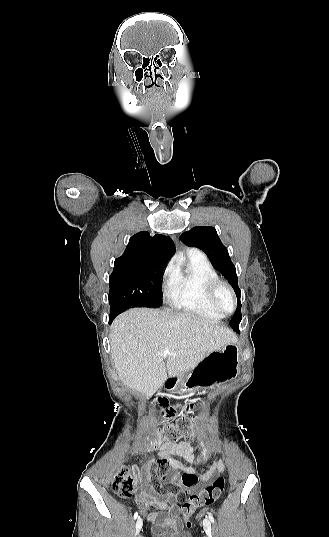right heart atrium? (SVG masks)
I'll list each match as a JSON object with an SVG mask.
<instances>
[{
	"label": "right heart atrium",
	"instance_id": "obj_1",
	"mask_svg": "<svg viewBox=\"0 0 329 537\" xmlns=\"http://www.w3.org/2000/svg\"><path fill=\"white\" fill-rule=\"evenodd\" d=\"M174 278H175V268L170 263L165 267V269H164V271L162 273V282H163L164 290H165L166 294L170 290V288L172 287L173 282H174Z\"/></svg>",
	"mask_w": 329,
	"mask_h": 537
}]
</instances>
